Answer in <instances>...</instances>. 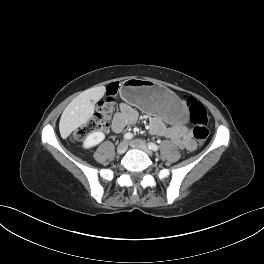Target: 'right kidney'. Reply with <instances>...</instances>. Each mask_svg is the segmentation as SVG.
I'll return each mask as SVG.
<instances>
[{
    "label": "right kidney",
    "mask_w": 264,
    "mask_h": 264,
    "mask_svg": "<svg viewBox=\"0 0 264 264\" xmlns=\"http://www.w3.org/2000/svg\"><path fill=\"white\" fill-rule=\"evenodd\" d=\"M105 138L104 133L102 132H93L91 134H89L85 140L83 141V148L85 149H89L92 148L96 145H98L99 143H101Z\"/></svg>",
    "instance_id": "ca27d5eb"
}]
</instances>
